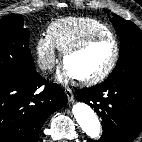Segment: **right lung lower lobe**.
Returning <instances> with one entry per match:
<instances>
[{"mask_svg":"<svg viewBox=\"0 0 142 142\" xmlns=\"http://www.w3.org/2000/svg\"><path fill=\"white\" fill-rule=\"evenodd\" d=\"M66 103L63 89L36 71L22 78L0 80V142H37L44 122Z\"/></svg>","mask_w":142,"mask_h":142,"instance_id":"98d812e1","label":"right lung lower lobe"}]
</instances>
